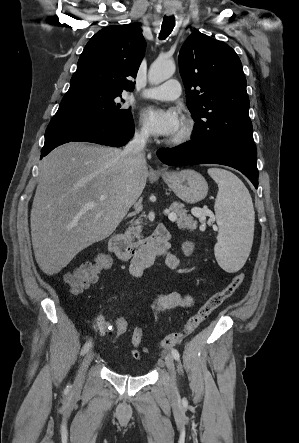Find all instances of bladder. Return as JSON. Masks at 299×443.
Returning <instances> with one entry per match:
<instances>
[{"label": "bladder", "instance_id": "1", "mask_svg": "<svg viewBox=\"0 0 299 443\" xmlns=\"http://www.w3.org/2000/svg\"><path fill=\"white\" fill-rule=\"evenodd\" d=\"M114 372L119 373V374H129L132 376H141L144 374V370L140 367V366H135V367H128L127 365H116L114 367Z\"/></svg>", "mask_w": 299, "mask_h": 443}]
</instances>
